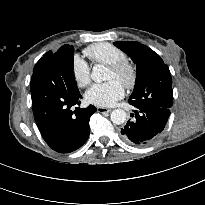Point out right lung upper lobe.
<instances>
[{"label": "right lung upper lobe", "instance_id": "cb5924a9", "mask_svg": "<svg viewBox=\"0 0 205 205\" xmlns=\"http://www.w3.org/2000/svg\"><path fill=\"white\" fill-rule=\"evenodd\" d=\"M52 55H53V54H52ZM50 57H51V56H50V52H47V53L44 54L43 59L49 60Z\"/></svg>", "mask_w": 205, "mask_h": 205}]
</instances>
